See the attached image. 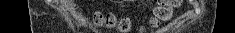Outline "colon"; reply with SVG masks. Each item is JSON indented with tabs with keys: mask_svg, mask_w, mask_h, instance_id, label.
<instances>
[{
	"mask_svg": "<svg viewBox=\"0 0 235 33\" xmlns=\"http://www.w3.org/2000/svg\"><path fill=\"white\" fill-rule=\"evenodd\" d=\"M179 0H162L155 8L154 16L151 19V24L157 27L163 22L169 21L172 17V8L178 6ZM92 22L96 26H106L109 28H116L120 32H127L130 29V22L126 18L117 19L112 14L103 15L95 13Z\"/></svg>",
	"mask_w": 235,
	"mask_h": 33,
	"instance_id": "colon-1",
	"label": "colon"
}]
</instances>
